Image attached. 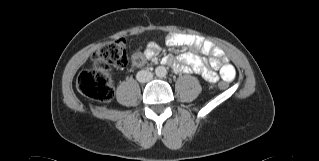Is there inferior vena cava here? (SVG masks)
Returning a JSON list of instances; mask_svg holds the SVG:
<instances>
[{"mask_svg":"<svg viewBox=\"0 0 319 161\" xmlns=\"http://www.w3.org/2000/svg\"><path fill=\"white\" fill-rule=\"evenodd\" d=\"M136 78L139 82H149L153 78V74L147 70H141L137 73Z\"/></svg>","mask_w":319,"mask_h":161,"instance_id":"602c4592","label":"inferior vena cava"}]
</instances>
